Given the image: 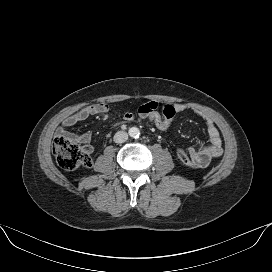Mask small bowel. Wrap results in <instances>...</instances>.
<instances>
[{
    "label": "small bowel",
    "mask_w": 272,
    "mask_h": 272,
    "mask_svg": "<svg viewBox=\"0 0 272 272\" xmlns=\"http://www.w3.org/2000/svg\"><path fill=\"white\" fill-rule=\"evenodd\" d=\"M143 107L160 108L161 105L155 101H149L141 106V108ZM175 109L177 113L191 111L192 113L199 116L206 124L209 140L208 143L201 146H190L187 149L189 156L199 164V167H205L214 158L221 156L223 153L222 139L214 120L208 115L204 114L203 112L190 108L186 104L177 103L175 104ZM110 110H111L110 107L104 103H95L84 108H81L80 110L67 116L62 121L61 126L57 129V135H64L78 143H82L85 145V149L87 152H92L93 151V147L91 146L92 133L90 131L81 134H74L68 132L67 129L81 121L86 120L91 116L107 113ZM120 117L125 121L137 120L135 112H126L120 114Z\"/></svg>",
    "instance_id": "1"
}]
</instances>
